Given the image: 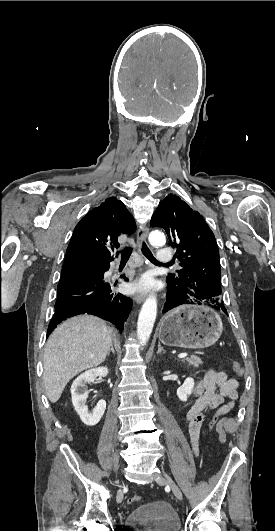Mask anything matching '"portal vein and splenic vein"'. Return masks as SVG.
I'll return each mask as SVG.
<instances>
[{
	"mask_svg": "<svg viewBox=\"0 0 275 531\" xmlns=\"http://www.w3.org/2000/svg\"><path fill=\"white\" fill-rule=\"evenodd\" d=\"M179 359H184V357H187V353H180V355H178Z\"/></svg>",
	"mask_w": 275,
	"mask_h": 531,
	"instance_id": "obj_1",
	"label": "portal vein and splenic vein"
}]
</instances>
